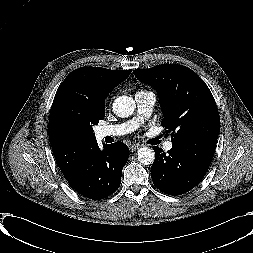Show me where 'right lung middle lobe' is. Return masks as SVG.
<instances>
[{
	"label": "right lung middle lobe",
	"mask_w": 253,
	"mask_h": 253,
	"mask_svg": "<svg viewBox=\"0 0 253 253\" xmlns=\"http://www.w3.org/2000/svg\"><path fill=\"white\" fill-rule=\"evenodd\" d=\"M104 116H105V114H104V113H103V115H100V116H95V117H94V119H93V121H92V126H93V125H97V124H98V122H99V120L103 119V118H104Z\"/></svg>",
	"instance_id": "dd1d6c3e"
}]
</instances>
